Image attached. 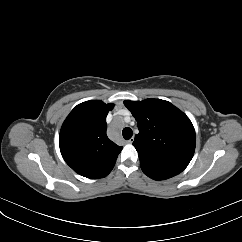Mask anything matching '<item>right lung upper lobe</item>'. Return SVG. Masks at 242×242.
Returning <instances> with one entry per match:
<instances>
[{"mask_svg":"<svg viewBox=\"0 0 242 242\" xmlns=\"http://www.w3.org/2000/svg\"><path fill=\"white\" fill-rule=\"evenodd\" d=\"M113 107L101 100L83 102L70 112L61 127L62 157L84 177L98 179L108 175L122 150L106 135V116Z\"/></svg>","mask_w":242,"mask_h":242,"instance_id":"cb5924a9","label":"right lung upper lobe"}]
</instances>
